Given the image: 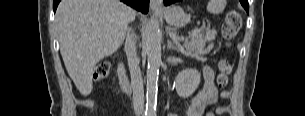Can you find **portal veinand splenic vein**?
Segmentation results:
<instances>
[{
	"label": "portal vein and splenic vein",
	"instance_id": "1",
	"mask_svg": "<svg viewBox=\"0 0 305 116\" xmlns=\"http://www.w3.org/2000/svg\"><path fill=\"white\" fill-rule=\"evenodd\" d=\"M199 32H200V30H195L192 35L196 36ZM172 35H173L174 39H178V37L176 36L175 33H173Z\"/></svg>",
	"mask_w": 305,
	"mask_h": 116
}]
</instances>
